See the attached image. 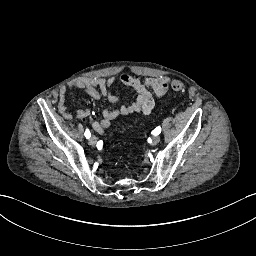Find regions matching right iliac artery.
<instances>
[{
	"label": "right iliac artery",
	"mask_w": 256,
	"mask_h": 256,
	"mask_svg": "<svg viewBox=\"0 0 256 256\" xmlns=\"http://www.w3.org/2000/svg\"><path fill=\"white\" fill-rule=\"evenodd\" d=\"M85 137L87 139H89L91 137V133H90V131L88 129H86V131H85Z\"/></svg>",
	"instance_id": "obj_1"
}]
</instances>
